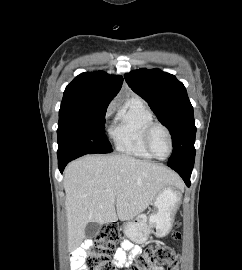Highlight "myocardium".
Here are the masks:
<instances>
[{"instance_id": "f54148a6", "label": "myocardium", "mask_w": 242, "mask_h": 270, "mask_svg": "<svg viewBox=\"0 0 242 270\" xmlns=\"http://www.w3.org/2000/svg\"><path fill=\"white\" fill-rule=\"evenodd\" d=\"M157 127L162 128L166 132V134L168 136V139H169L170 149H169V153L165 157H159V156H157L154 153V151H153V149L151 147V143H150L151 135H152L153 130L155 128H157ZM143 141H144L145 148L147 149V151L149 152V154L152 156V158H155L157 160H166L173 153L174 143H173L172 133L169 130V128L166 125H164L163 123H161V122L152 121L151 123H149L147 125V127L145 129V132H144Z\"/></svg>"}]
</instances>
